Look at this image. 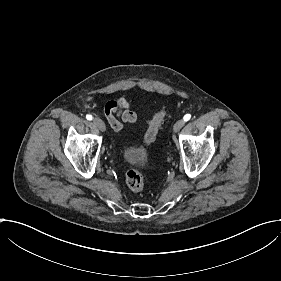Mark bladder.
<instances>
[{"label":"bladder","instance_id":"31cf9c89","mask_svg":"<svg viewBox=\"0 0 281 281\" xmlns=\"http://www.w3.org/2000/svg\"><path fill=\"white\" fill-rule=\"evenodd\" d=\"M124 158L129 163H136L144 160V155L137 150L128 149L124 152Z\"/></svg>","mask_w":281,"mask_h":281}]
</instances>
